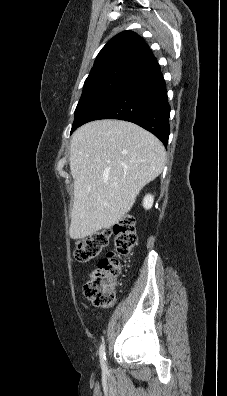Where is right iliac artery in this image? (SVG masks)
Returning a JSON list of instances; mask_svg holds the SVG:
<instances>
[{
    "instance_id": "right-iliac-artery-1",
    "label": "right iliac artery",
    "mask_w": 227,
    "mask_h": 396,
    "mask_svg": "<svg viewBox=\"0 0 227 396\" xmlns=\"http://www.w3.org/2000/svg\"><path fill=\"white\" fill-rule=\"evenodd\" d=\"M99 356H100V364H101L102 371L104 373H106L107 366H106V353H105V343L104 342L100 346Z\"/></svg>"
}]
</instances>
